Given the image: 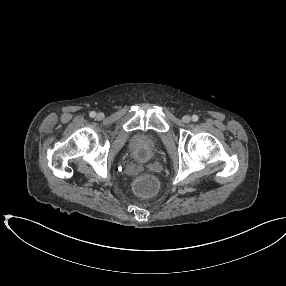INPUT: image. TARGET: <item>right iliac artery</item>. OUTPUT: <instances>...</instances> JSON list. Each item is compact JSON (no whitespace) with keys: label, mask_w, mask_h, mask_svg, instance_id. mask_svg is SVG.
<instances>
[{"label":"right iliac artery","mask_w":286,"mask_h":286,"mask_svg":"<svg viewBox=\"0 0 286 286\" xmlns=\"http://www.w3.org/2000/svg\"><path fill=\"white\" fill-rule=\"evenodd\" d=\"M90 117H95L96 116V113L94 111L90 112Z\"/></svg>","instance_id":"82829eb1"}]
</instances>
